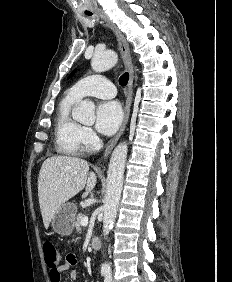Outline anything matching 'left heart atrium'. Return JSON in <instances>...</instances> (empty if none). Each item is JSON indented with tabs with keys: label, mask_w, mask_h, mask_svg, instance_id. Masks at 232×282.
Segmentation results:
<instances>
[{
	"label": "left heart atrium",
	"mask_w": 232,
	"mask_h": 282,
	"mask_svg": "<svg viewBox=\"0 0 232 282\" xmlns=\"http://www.w3.org/2000/svg\"><path fill=\"white\" fill-rule=\"evenodd\" d=\"M122 118V108L117 101L102 102L96 111V128L102 134L111 135L120 126Z\"/></svg>",
	"instance_id": "obj_1"
}]
</instances>
